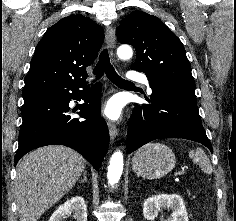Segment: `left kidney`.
Here are the masks:
<instances>
[{"instance_id":"obj_1","label":"left kidney","mask_w":236,"mask_h":221,"mask_svg":"<svg viewBox=\"0 0 236 221\" xmlns=\"http://www.w3.org/2000/svg\"><path fill=\"white\" fill-rule=\"evenodd\" d=\"M165 208L173 211L168 221H189L185 203L178 194H159L147 198L143 206L144 218L154 221L158 212Z\"/></svg>"}]
</instances>
